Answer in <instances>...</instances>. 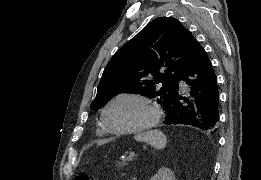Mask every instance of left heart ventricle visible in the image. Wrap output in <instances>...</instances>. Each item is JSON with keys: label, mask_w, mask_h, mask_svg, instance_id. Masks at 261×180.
Returning <instances> with one entry per match:
<instances>
[{"label": "left heart ventricle", "mask_w": 261, "mask_h": 180, "mask_svg": "<svg viewBox=\"0 0 261 180\" xmlns=\"http://www.w3.org/2000/svg\"><path fill=\"white\" fill-rule=\"evenodd\" d=\"M148 116V107L141 101L126 98L113 104L108 111V121L117 131L140 128Z\"/></svg>", "instance_id": "left-heart-ventricle-1"}]
</instances>
